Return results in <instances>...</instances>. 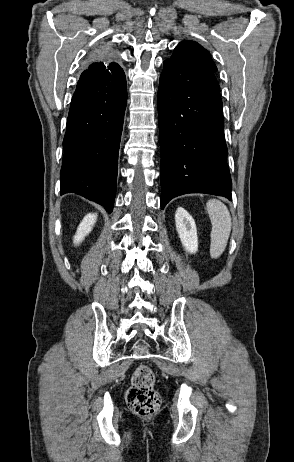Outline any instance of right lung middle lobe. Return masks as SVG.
<instances>
[{
	"label": "right lung middle lobe",
	"instance_id": "dd1d6c3e",
	"mask_svg": "<svg viewBox=\"0 0 294 462\" xmlns=\"http://www.w3.org/2000/svg\"><path fill=\"white\" fill-rule=\"evenodd\" d=\"M108 50H110L109 46L107 44H103L95 49L94 55H96L97 53L106 52Z\"/></svg>",
	"mask_w": 294,
	"mask_h": 462
}]
</instances>
